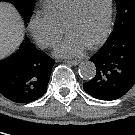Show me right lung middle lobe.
<instances>
[{"label": "right lung middle lobe", "instance_id": "obj_1", "mask_svg": "<svg viewBox=\"0 0 135 135\" xmlns=\"http://www.w3.org/2000/svg\"><path fill=\"white\" fill-rule=\"evenodd\" d=\"M0 1H8L13 3L19 9L20 13L23 15L25 21L28 22L34 9L36 0H0Z\"/></svg>", "mask_w": 135, "mask_h": 135}]
</instances>
